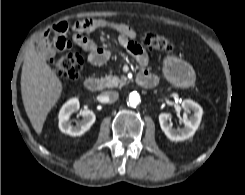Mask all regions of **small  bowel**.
Segmentation results:
<instances>
[{
	"label": "small bowel",
	"mask_w": 245,
	"mask_h": 195,
	"mask_svg": "<svg viewBox=\"0 0 245 195\" xmlns=\"http://www.w3.org/2000/svg\"><path fill=\"white\" fill-rule=\"evenodd\" d=\"M100 28H109L118 32V43L131 56L135 58L142 71L147 72L149 62L146 51L135 41L136 32L132 27L125 23L112 22L104 19H84L77 22L73 29L76 33L73 36V42L88 52V62L99 66L106 63L111 52L102 46L96 44L92 39L86 36V33L93 32ZM68 24L59 22L53 28L45 33L43 42L39 48L43 55H52L56 51H63L70 47V41L66 37ZM50 34H53L52 42H45Z\"/></svg>",
	"instance_id": "small-bowel-1"
}]
</instances>
